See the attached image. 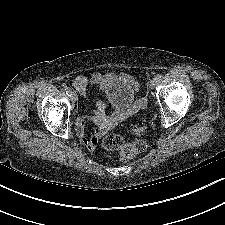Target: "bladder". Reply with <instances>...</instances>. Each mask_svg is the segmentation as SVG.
Returning <instances> with one entry per match:
<instances>
[{
	"mask_svg": "<svg viewBox=\"0 0 225 225\" xmlns=\"http://www.w3.org/2000/svg\"><path fill=\"white\" fill-rule=\"evenodd\" d=\"M106 99L115 107L127 109L134 105L136 94L132 88L115 83L106 89Z\"/></svg>",
	"mask_w": 225,
	"mask_h": 225,
	"instance_id": "obj_1",
	"label": "bladder"
}]
</instances>
